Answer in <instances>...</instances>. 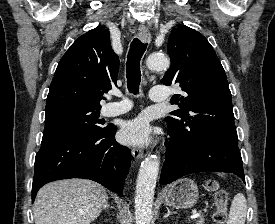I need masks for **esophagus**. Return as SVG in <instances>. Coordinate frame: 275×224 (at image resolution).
I'll return each mask as SVG.
<instances>
[{
	"mask_svg": "<svg viewBox=\"0 0 275 224\" xmlns=\"http://www.w3.org/2000/svg\"><path fill=\"white\" fill-rule=\"evenodd\" d=\"M140 40L143 43H150L151 42V34L147 28H143L138 34ZM132 155L135 159H142L144 157V151L141 148H133Z\"/></svg>",
	"mask_w": 275,
	"mask_h": 224,
	"instance_id": "34e87169",
	"label": "esophagus"
}]
</instances>
